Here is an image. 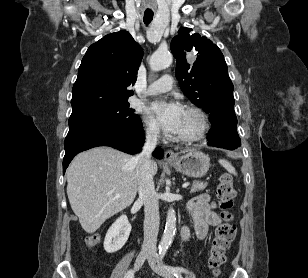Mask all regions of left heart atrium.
I'll use <instances>...</instances> for the list:
<instances>
[{"label": "left heart atrium", "instance_id": "1", "mask_svg": "<svg viewBox=\"0 0 308 278\" xmlns=\"http://www.w3.org/2000/svg\"><path fill=\"white\" fill-rule=\"evenodd\" d=\"M152 118L165 130L177 133L184 109L176 102H154L148 110Z\"/></svg>", "mask_w": 308, "mask_h": 278}]
</instances>
